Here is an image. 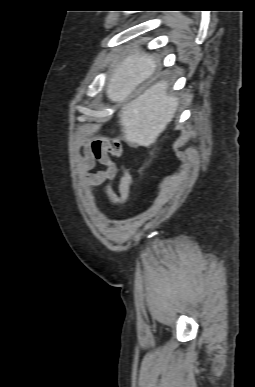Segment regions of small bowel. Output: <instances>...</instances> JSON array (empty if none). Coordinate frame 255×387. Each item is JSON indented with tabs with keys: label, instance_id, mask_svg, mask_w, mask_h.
Returning a JSON list of instances; mask_svg holds the SVG:
<instances>
[{
	"label": "small bowel",
	"instance_id": "obj_1",
	"mask_svg": "<svg viewBox=\"0 0 255 387\" xmlns=\"http://www.w3.org/2000/svg\"><path fill=\"white\" fill-rule=\"evenodd\" d=\"M78 145L81 151L79 160V171L84 177L86 186L93 190L96 186L113 180L118 167L112 157H120L124 151L123 144L107 138L89 139L84 133L78 135ZM98 164L103 169L96 170ZM133 182V175L129 169L122 170V176L118 185V192L111 186L105 187V194L111 203L125 205L130 198V186Z\"/></svg>",
	"mask_w": 255,
	"mask_h": 387
}]
</instances>
